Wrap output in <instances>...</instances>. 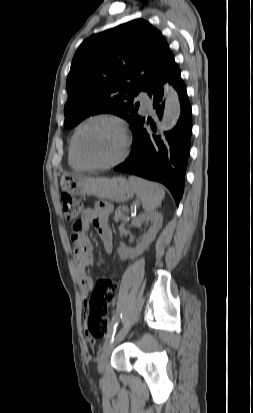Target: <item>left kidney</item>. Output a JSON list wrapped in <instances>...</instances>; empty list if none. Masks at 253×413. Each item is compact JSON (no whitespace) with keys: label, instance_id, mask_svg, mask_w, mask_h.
I'll return each instance as SVG.
<instances>
[{"label":"left kidney","instance_id":"obj_1","mask_svg":"<svg viewBox=\"0 0 253 413\" xmlns=\"http://www.w3.org/2000/svg\"><path fill=\"white\" fill-rule=\"evenodd\" d=\"M151 222L148 232L143 236L142 241L134 249L125 247L118 248V254L122 260L135 259L141 255L149 245L154 241L158 231L162 227L163 216L158 212L143 213L137 216L132 221V226L140 227L143 222Z\"/></svg>","mask_w":253,"mask_h":413}]
</instances>
